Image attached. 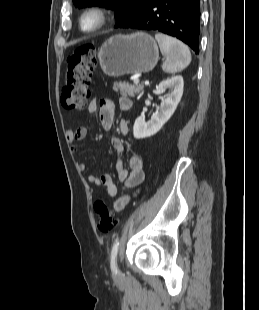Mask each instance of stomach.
Wrapping results in <instances>:
<instances>
[{
	"label": "stomach",
	"instance_id": "0dacf381",
	"mask_svg": "<svg viewBox=\"0 0 259 310\" xmlns=\"http://www.w3.org/2000/svg\"><path fill=\"white\" fill-rule=\"evenodd\" d=\"M98 58L105 75L120 77L151 71L159 59V50L150 35L137 32L110 37L101 46Z\"/></svg>",
	"mask_w": 259,
	"mask_h": 310
}]
</instances>
